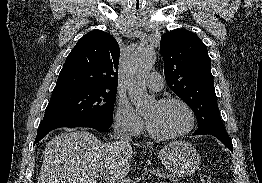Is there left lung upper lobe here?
I'll list each match as a JSON object with an SVG mask.
<instances>
[{
	"label": "left lung upper lobe",
	"instance_id": "obj_1",
	"mask_svg": "<svg viewBox=\"0 0 262 183\" xmlns=\"http://www.w3.org/2000/svg\"><path fill=\"white\" fill-rule=\"evenodd\" d=\"M160 51L165 79L170 89L194 111L198 121L195 135L226 134L220 118L207 47L186 29L162 35Z\"/></svg>",
	"mask_w": 262,
	"mask_h": 183
}]
</instances>
